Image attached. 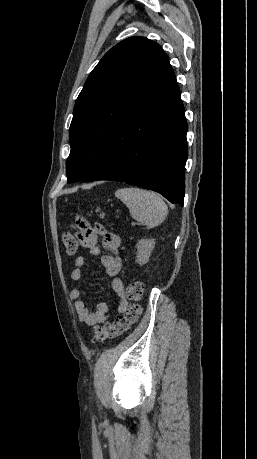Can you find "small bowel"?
Masks as SVG:
<instances>
[{"instance_id":"obj_1","label":"small bowel","mask_w":257,"mask_h":459,"mask_svg":"<svg viewBox=\"0 0 257 459\" xmlns=\"http://www.w3.org/2000/svg\"><path fill=\"white\" fill-rule=\"evenodd\" d=\"M76 227L69 228V235L75 236L78 247H87L89 254L98 256L101 253L100 247L95 243L96 237L101 236L103 247L110 253L101 257V264L106 273L112 277L111 287L119 296V306L117 313H121L128 305L125 290L119 274L122 268V260L117 255L121 245L119 235L109 232L102 224L96 223L91 227L89 220H82V215H75ZM86 260L83 256H77L74 260V268L70 273L72 281H79L83 276ZM82 291L80 288H73L70 291V298L75 300V312L79 321L87 325H96L104 323L110 316V307L106 302H98L92 311L87 303L81 298Z\"/></svg>"}]
</instances>
